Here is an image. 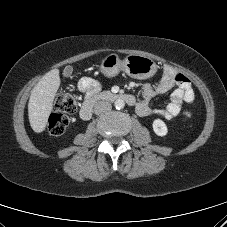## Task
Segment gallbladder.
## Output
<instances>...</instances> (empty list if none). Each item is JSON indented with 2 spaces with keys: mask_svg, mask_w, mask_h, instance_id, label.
I'll return each mask as SVG.
<instances>
[{
  "mask_svg": "<svg viewBox=\"0 0 227 227\" xmlns=\"http://www.w3.org/2000/svg\"><path fill=\"white\" fill-rule=\"evenodd\" d=\"M71 73H72V67H70V66L65 67V69L63 70L64 77L70 76Z\"/></svg>",
  "mask_w": 227,
  "mask_h": 227,
  "instance_id": "obj_1",
  "label": "gallbladder"
}]
</instances>
